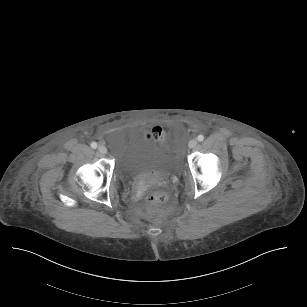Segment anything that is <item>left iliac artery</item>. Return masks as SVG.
Instances as JSON below:
<instances>
[{"instance_id": "left-iliac-artery-1", "label": "left iliac artery", "mask_w": 307, "mask_h": 307, "mask_svg": "<svg viewBox=\"0 0 307 307\" xmlns=\"http://www.w3.org/2000/svg\"><path fill=\"white\" fill-rule=\"evenodd\" d=\"M197 140L200 141V142L203 141L204 140V136L203 135H198Z\"/></svg>"}]
</instances>
